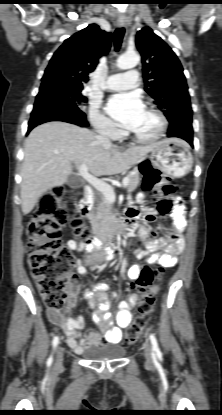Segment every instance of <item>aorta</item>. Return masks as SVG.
<instances>
[{
    "label": "aorta",
    "mask_w": 222,
    "mask_h": 415,
    "mask_svg": "<svg viewBox=\"0 0 222 415\" xmlns=\"http://www.w3.org/2000/svg\"><path fill=\"white\" fill-rule=\"evenodd\" d=\"M140 56L137 53H126L117 60V67L122 70L131 69L138 65Z\"/></svg>",
    "instance_id": "1"
}]
</instances>
